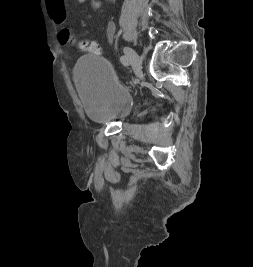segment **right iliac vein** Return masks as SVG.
<instances>
[{"label":"right iliac vein","mask_w":253,"mask_h":267,"mask_svg":"<svg viewBox=\"0 0 253 267\" xmlns=\"http://www.w3.org/2000/svg\"><path fill=\"white\" fill-rule=\"evenodd\" d=\"M123 51L125 55L130 59L134 68H139L141 65V59L139 55L130 47L124 46Z\"/></svg>","instance_id":"63e3f726"}]
</instances>
